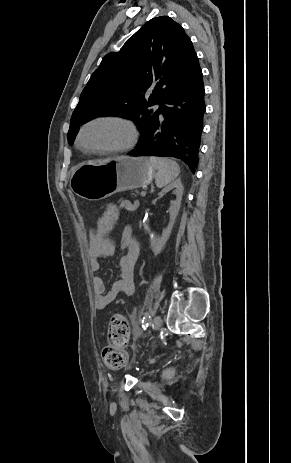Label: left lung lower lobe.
I'll return each instance as SVG.
<instances>
[{
  "mask_svg": "<svg viewBox=\"0 0 291 463\" xmlns=\"http://www.w3.org/2000/svg\"><path fill=\"white\" fill-rule=\"evenodd\" d=\"M204 95L199 67L165 97L157 116L128 155L178 158L194 173L199 161L206 111Z\"/></svg>",
  "mask_w": 291,
  "mask_h": 463,
  "instance_id": "0a47b994",
  "label": "left lung lower lobe"
}]
</instances>
